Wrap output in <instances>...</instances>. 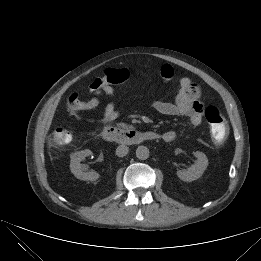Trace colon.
I'll return each instance as SVG.
<instances>
[{"label": "colon", "instance_id": "1", "mask_svg": "<svg viewBox=\"0 0 261 261\" xmlns=\"http://www.w3.org/2000/svg\"><path fill=\"white\" fill-rule=\"evenodd\" d=\"M129 73L125 69H108L103 77L95 79L89 86L90 91L98 93L104 84L118 85L127 80ZM205 118L209 124L210 133L216 144H222L228 136V125L225 117L215 106L205 110ZM72 140V134L64 127H57L51 136L54 145H66Z\"/></svg>", "mask_w": 261, "mask_h": 261}]
</instances>
